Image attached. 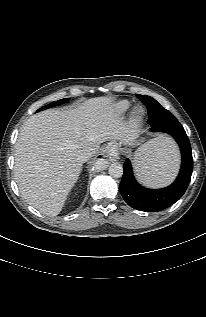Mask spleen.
<instances>
[{
	"label": "spleen",
	"mask_w": 206,
	"mask_h": 317,
	"mask_svg": "<svg viewBox=\"0 0 206 317\" xmlns=\"http://www.w3.org/2000/svg\"><path fill=\"white\" fill-rule=\"evenodd\" d=\"M179 153L174 141L166 136L140 147L134 155V170L141 183L149 187L169 184L178 170Z\"/></svg>",
	"instance_id": "obj_1"
}]
</instances>
